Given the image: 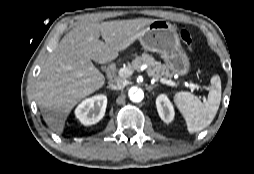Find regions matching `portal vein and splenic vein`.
Masks as SVG:
<instances>
[{
    "mask_svg": "<svg viewBox=\"0 0 254 174\" xmlns=\"http://www.w3.org/2000/svg\"><path fill=\"white\" fill-rule=\"evenodd\" d=\"M133 72H134V71H133L131 68L124 67V68H120V69L118 70V75H119L120 77H122V78H127V77L131 76V75L133 74ZM160 81H161V83L166 84V85H168V86H177V84H176L174 81H172V80H168V79L161 78ZM189 88H190L192 91H194V90L196 89V85L190 84V85H189Z\"/></svg>",
    "mask_w": 254,
    "mask_h": 174,
    "instance_id": "obj_1",
    "label": "portal vein and splenic vein"
}]
</instances>
